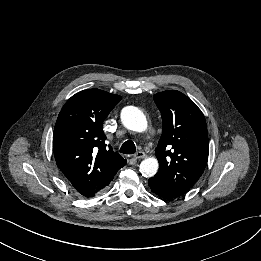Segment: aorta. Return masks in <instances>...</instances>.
<instances>
[{
  "label": "aorta",
  "instance_id": "762f6f07",
  "mask_svg": "<svg viewBox=\"0 0 261 261\" xmlns=\"http://www.w3.org/2000/svg\"><path fill=\"white\" fill-rule=\"evenodd\" d=\"M123 125L132 131L143 132L147 129V120L143 112L134 106L124 107L121 111ZM159 168L158 160L154 157L144 159L139 171L144 177H153Z\"/></svg>",
  "mask_w": 261,
  "mask_h": 261
}]
</instances>
